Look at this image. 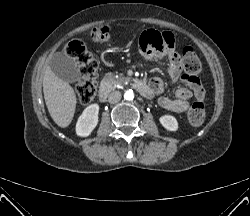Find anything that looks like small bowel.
<instances>
[{"label":"small bowel","instance_id":"1","mask_svg":"<svg viewBox=\"0 0 250 216\" xmlns=\"http://www.w3.org/2000/svg\"><path fill=\"white\" fill-rule=\"evenodd\" d=\"M175 39L170 32L149 30L140 38V49L147 59L160 58L163 52L169 54L168 72L173 80L179 81L182 87L178 88L173 97L165 94V88L160 78H153L149 82L152 95L158 96V105L167 111L181 113L186 111L192 102L204 98V90L199 78L183 73L179 58L174 54Z\"/></svg>","mask_w":250,"mask_h":216}]
</instances>
